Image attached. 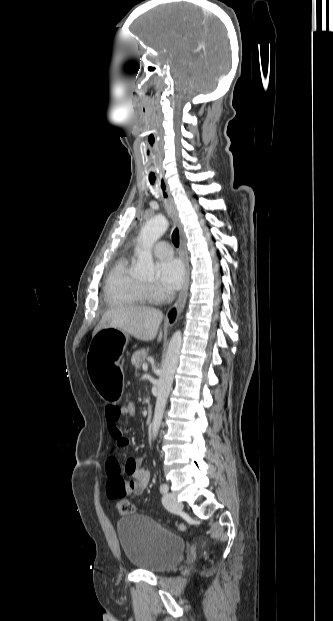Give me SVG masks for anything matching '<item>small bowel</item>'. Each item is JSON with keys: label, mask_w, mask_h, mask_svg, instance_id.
<instances>
[{"label": "small bowel", "mask_w": 333, "mask_h": 621, "mask_svg": "<svg viewBox=\"0 0 333 621\" xmlns=\"http://www.w3.org/2000/svg\"><path fill=\"white\" fill-rule=\"evenodd\" d=\"M105 421L108 433L116 440L118 446H126L129 441L124 436L121 428L122 408L119 405L109 404L105 407ZM142 458L131 457L121 465L115 457H109L106 461L108 480L106 494L110 499H121L132 495H140L148 486L150 474L141 466ZM126 474L131 479L125 480L122 475Z\"/></svg>", "instance_id": "small-bowel-1"}]
</instances>
